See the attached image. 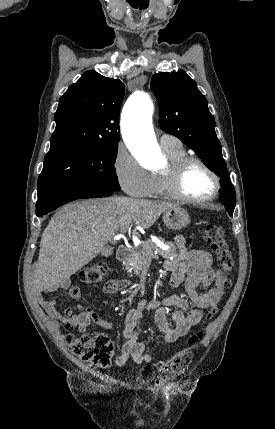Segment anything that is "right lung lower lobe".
Here are the masks:
<instances>
[{
    "instance_id": "98d812e1",
    "label": "right lung lower lobe",
    "mask_w": 275,
    "mask_h": 429,
    "mask_svg": "<svg viewBox=\"0 0 275 429\" xmlns=\"http://www.w3.org/2000/svg\"><path fill=\"white\" fill-rule=\"evenodd\" d=\"M114 191L90 186L64 188L40 197L36 203V215L43 216L59 206L80 198H98L113 194Z\"/></svg>"
}]
</instances>
